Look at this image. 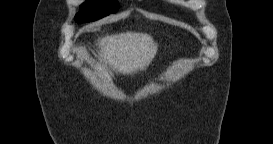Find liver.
<instances>
[{
	"mask_svg": "<svg viewBox=\"0 0 273 144\" xmlns=\"http://www.w3.org/2000/svg\"><path fill=\"white\" fill-rule=\"evenodd\" d=\"M96 66L111 79L113 72L124 75L145 70L157 53V43L146 33L125 32L98 38Z\"/></svg>",
	"mask_w": 273,
	"mask_h": 144,
	"instance_id": "liver-1",
	"label": "liver"
}]
</instances>
